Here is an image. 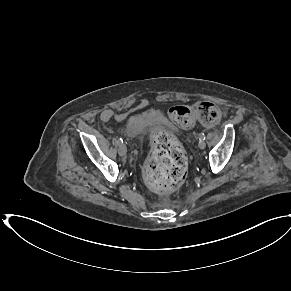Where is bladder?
Listing matches in <instances>:
<instances>
[{
	"mask_svg": "<svg viewBox=\"0 0 291 291\" xmlns=\"http://www.w3.org/2000/svg\"><path fill=\"white\" fill-rule=\"evenodd\" d=\"M150 127L146 116H132L125 121V133L128 136H143Z\"/></svg>",
	"mask_w": 291,
	"mask_h": 291,
	"instance_id": "31cf9c89",
	"label": "bladder"
}]
</instances>
